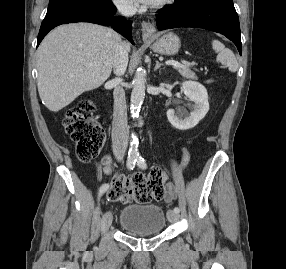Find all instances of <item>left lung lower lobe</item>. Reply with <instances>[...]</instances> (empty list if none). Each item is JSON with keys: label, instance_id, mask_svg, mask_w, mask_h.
Returning a JSON list of instances; mask_svg holds the SVG:
<instances>
[{"label": "left lung lower lobe", "instance_id": "0a47b994", "mask_svg": "<svg viewBox=\"0 0 286 269\" xmlns=\"http://www.w3.org/2000/svg\"><path fill=\"white\" fill-rule=\"evenodd\" d=\"M159 30L177 27L204 28L223 34L242 53L240 25L232 0H192L158 11Z\"/></svg>", "mask_w": 286, "mask_h": 269}]
</instances>
